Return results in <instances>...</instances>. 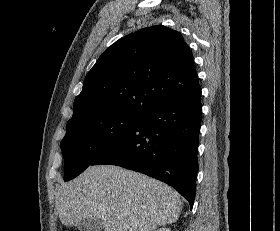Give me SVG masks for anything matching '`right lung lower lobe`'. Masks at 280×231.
Listing matches in <instances>:
<instances>
[{
  "instance_id": "1",
  "label": "right lung lower lobe",
  "mask_w": 280,
  "mask_h": 231,
  "mask_svg": "<svg viewBox=\"0 0 280 231\" xmlns=\"http://www.w3.org/2000/svg\"><path fill=\"white\" fill-rule=\"evenodd\" d=\"M201 93L160 104L91 165H117L174 187L192 208L198 171Z\"/></svg>"
}]
</instances>
